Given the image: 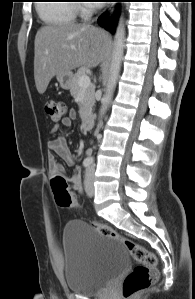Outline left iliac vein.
I'll use <instances>...</instances> for the list:
<instances>
[{
  "label": "left iliac vein",
  "instance_id": "4c4485c4",
  "mask_svg": "<svg viewBox=\"0 0 195 299\" xmlns=\"http://www.w3.org/2000/svg\"><path fill=\"white\" fill-rule=\"evenodd\" d=\"M91 173L92 167L86 171L85 191L88 197H92L94 195L93 177Z\"/></svg>",
  "mask_w": 195,
  "mask_h": 299
}]
</instances>
